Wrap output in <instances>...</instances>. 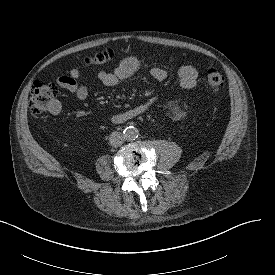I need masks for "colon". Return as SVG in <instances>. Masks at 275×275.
<instances>
[{
	"label": "colon",
	"instance_id": "5ec220e1",
	"mask_svg": "<svg viewBox=\"0 0 275 275\" xmlns=\"http://www.w3.org/2000/svg\"><path fill=\"white\" fill-rule=\"evenodd\" d=\"M113 57V51L106 49L90 57L88 62L102 66L111 61ZM205 84L209 91L218 93L225 86V76L219 70L210 68L205 75ZM57 96V87L53 83L45 80L34 81L31 89L30 111L34 115H41L55 105Z\"/></svg>",
	"mask_w": 275,
	"mask_h": 275
}]
</instances>
